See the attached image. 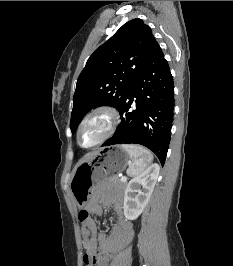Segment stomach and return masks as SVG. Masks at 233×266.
<instances>
[{
    "label": "stomach",
    "mask_w": 233,
    "mask_h": 266,
    "mask_svg": "<svg viewBox=\"0 0 233 266\" xmlns=\"http://www.w3.org/2000/svg\"><path fill=\"white\" fill-rule=\"evenodd\" d=\"M129 163L130 156L122 146L99 147V151L90 156V161L74 170L69 186L77 206H85L90 191L100 180H111V176L124 172Z\"/></svg>",
    "instance_id": "obj_1"
}]
</instances>
